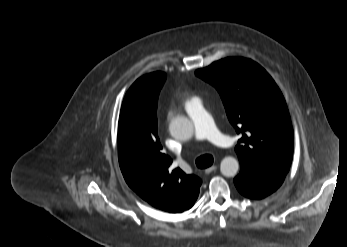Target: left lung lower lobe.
Returning <instances> with one entry per match:
<instances>
[{"label":"left lung lower lobe","mask_w":347,"mask_h":247,"mask_svg":"<svg viewBox=\"0 0 347 247\" xmlns=\"http://www.w3.org/2000/svg\"><path fill=\"white\" fill-rule=\"evenodd\" d=\"M286 174L278 172H250L241 168L234 178L238 191L252 199H262L275 192L283 183Z\"/></svg>","instance_id":"obj_1"}]
</instances>
